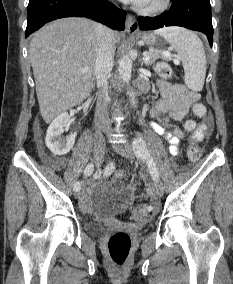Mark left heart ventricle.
<instances>
[{
	"label": "left heart ventricle",
	"instance_id": "b2bd125f",
	"mask_svg": "<svg viewBox=\"0 0 233 284\" xmlns=\"http://www.w3.org/2000/svg\"><path fill=\"white\" fill-rule=\"evenodd\" d=\"M155 1H157V0H147L144 5H149V4H151V3L155 2Z\"/></svg>",
	"mask_w": 233,
	"mask_h": 284
}]
</instances>
